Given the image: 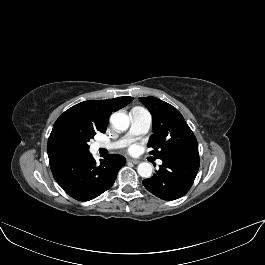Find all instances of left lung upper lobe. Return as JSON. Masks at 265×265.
<instances>
[{
    "mask_svg": "<svg viewBox=\"0 0 265 265\" xmlns=\"http://www.w3.org/2000/svg\"><path fill=\"white\" fill-rule=\"evenodd\" d=\"M139 100L152 115V132L148 147L156 158L167 155L198 153L195 135L181 113L172 105L156 98L142 97Z\"/></svg>",
    "mask_w": 265,
    "mask_h": 265,
    "instance_id": "5c2ea615",
    "label": "left lung upper lobe"
}]
</instances>
